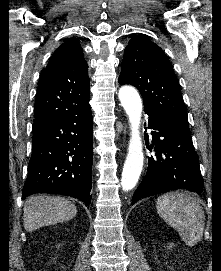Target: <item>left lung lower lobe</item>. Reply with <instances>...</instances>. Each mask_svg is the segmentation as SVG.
<instances>
[{"label":"left lung lower lobe","mask_w":221,"mask_h":271,"mask_svg":"<svg viewBox=\"0 0 221 271\" xmlns=\"http://www.w3.org/2000/svg\"><path fill=\"white\" fill-rule=\"evenodd\" d=\"M144 111L149 116L148 128L153 130L150 150L153 149L156 155L149 158L147 173L133 195L132 205L141 198L179 188L200 194L203 179L191 133L155 113ZM145 141L149 148L147 134Z\"/></svg>","instance_id":"1"}]
</instances>
